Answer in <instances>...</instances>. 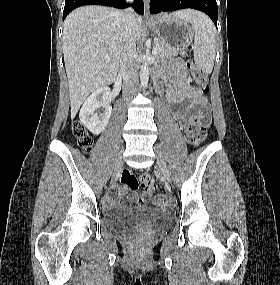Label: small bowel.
Returning <instances> with one entry per match:
<instances>
[{"label": "small bowel", "instance_id": "c3829d8e", "mask_svg": "<svg viewBox=\"0 0 280 285\" xmlns=\"http://www.w3.org/2000/svg\"><path fill=\"white\" fill-rule=\"evenodd\" d=\"M163 86L166 88V94L169 102L174 105L182 106L176 111L175 116L178 119L184 118L188 112L195 106L199 107V116L209 122L210 107L207 99L198 91L188 80L183 70L174 71L170 75L163 76ZM118 188H112L106 199L107 205L114 203L113 192ZM119 200L126 205L146 204L148 195L146 193L137 194L128 187H123L119 194Z\"/></svg>", "mask_w": 280, "mask_h": 285}]
</instances>
